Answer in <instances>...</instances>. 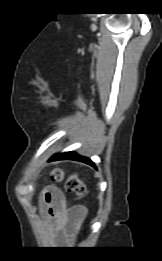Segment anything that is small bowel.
I'll list each match as a JSON object with an SVG mask.
<instances>
[{
	"instance_id": "1",
	"label": "small bowel",
	"mask_w": 162,
	"mask_h": 261,
	"mask_svg": "<svg viewBox=\"0 0 162 261\" xmlns=\"http://www.w3.org/2000/svg\"><path fill=\"white\" fill-rule=\"evenodd\" d=\"M43 201L48 229L57 236L60 243L66 242L83 217L84 208H68L66 197L56 187H48L44 191Z\"/></svg>"
}]
</instances>
